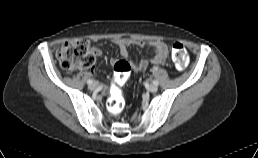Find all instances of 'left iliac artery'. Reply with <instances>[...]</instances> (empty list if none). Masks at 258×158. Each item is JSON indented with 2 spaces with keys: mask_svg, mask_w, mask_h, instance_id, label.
Returning <instances> with one entry per match:
<instances>
[{
  "mask_svg": "<svg viewBox=\"0 0 258 158\" xmlns=\"http://www.w3.org/2000/svg\"><path fill=\"white\" fill-rule=\"evenodd\" d=\"M153 84L158 85V84H159V82H158V81H156V80H154V81H153Z\"/></svg>",
  "mask_w": 258,
  "mask_h": 158,
  "instance_id": "44dca946",
  "label": "left iliac artery"
}]
</instances>
